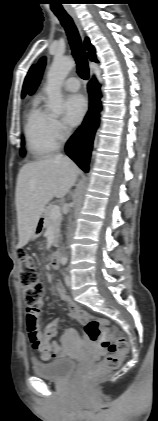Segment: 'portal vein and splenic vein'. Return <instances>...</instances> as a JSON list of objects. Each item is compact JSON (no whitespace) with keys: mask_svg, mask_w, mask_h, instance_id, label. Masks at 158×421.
<instances>
[{"mask_svg":"<svg viewBox=\"0 0 158 421\" xmlns=\"http://www.w3.org/2000/svg\"><path fill=\"white\" fill-rule=\"evenodd\" d=\"M61 216L60 207L57 205H54L51 209V217L52 218H58Z\"/></svg>","mask_w":158,"mask_h":421,"instance_id":"1","label":"portal vein and splenic vein"}]
</instances>
